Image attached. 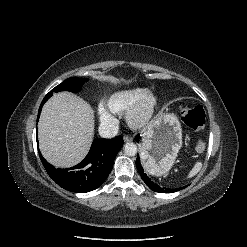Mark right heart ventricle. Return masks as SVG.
Here are the masks:
<instances>
[{"label": "right heart ventricle", "mask_w": 247, "mask_h": 247, "mask_svg": "<svg viewBox=\"0 0 247 247\" xmlns=\"http://www.w3.org/2000/svg\"><path fill=\"white\" fill-rule=\"evenodd\" d=\"M148 92L145 88H130L117 91L107 97L104 102L106 111L113 114H122L133 106L143 95Z\"/></svg>", "instance_id": "e07e8e85"}]
</instances>
